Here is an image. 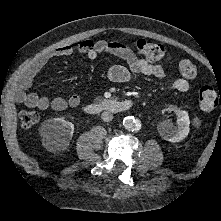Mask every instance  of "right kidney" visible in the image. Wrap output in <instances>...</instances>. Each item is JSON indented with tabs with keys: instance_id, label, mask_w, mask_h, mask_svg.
I'll list each match as a JSON object with an SVG mask.
<instances>
[{
	"instance_id": "obj_1",
	"label": "right kidney",
	"mask_w": 221,
	"mask_h": 221,
	"mask_svg": "<svg viewBox=\"0 0 221 221\" xmlns=\"http://www.w3.org/2000/svg\"><path fill=\"white\" fill-rule=\"evenodd\" d=\"M40 135L47 149L56 152L64 150L74 133V125L62 118L44 121L40 127Z\"/></svg>"
}]
</instances>
